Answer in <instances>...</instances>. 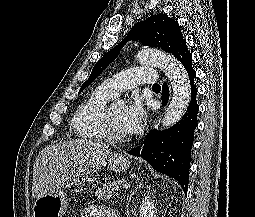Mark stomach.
<instances>
[{"label": "stomach", "mask_w": 255, "mask_h": 217, "mask_svg": "<svg viewBox=\"0 0 255 217\" xmlns=\"http://www.w3.org/2000/svg\"><path fill=\"white\" fill-rule=\"evenodd\" d=\"M107 164L108 168L116 173L125 172L130 167V161L124 154H112ZM67 206V197L59 189L53 194L36 199L33 206V217H63Z\"/></svg>", "instance_id": "0dacf381"}]
</instances>
